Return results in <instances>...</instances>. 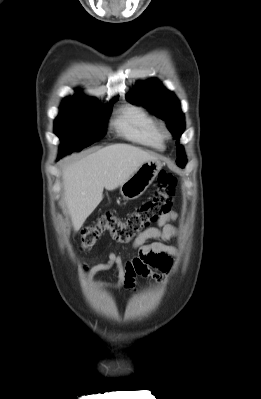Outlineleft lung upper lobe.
Segmentation results:
<instances>
[{
  "instance_id": "5c2ea615",
  "label": "left lung upper lobe",
  "mask_w": 261,
  "mask_h": 399,
  "mask_svg": "<svg viewBox=\"0 0 261 399\" xmlns=\"http://www.w3.org/2000/svg\"><path fill=\"white\" fill-rule=\"evenodd\" d=\"M126 99L137 105H144L156 116L166 121L167 127L174 137H180L184 131V115L176 96L165 89L157 79H150L135 86ZM177 165L184 167L187 160L183 146L177 142Z\"/></svg>"
}]
</instances>
